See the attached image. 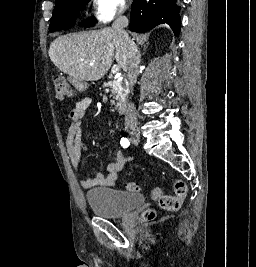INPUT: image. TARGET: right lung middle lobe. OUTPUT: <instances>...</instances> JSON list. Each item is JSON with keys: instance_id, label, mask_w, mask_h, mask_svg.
<instances>
[{"instance_id": "obj_1", "label": "right lung middle lobe", "mask_w": 256, "mask_h": 267, "mask_svg": "<svg viewBox=\"0 0 256 267\" xmlns=\"http://www.w3.org/2000/svg\"><path fill=\"white\" fill-rule=\"evenodd\" d=\"M90 0H60L55 2L53 16L50 21L49 30L58 31L69 29L74 25L79 11L84 9V5ZM93 20L87 19L80 23L81 26H93Z\"/></svg>"}]
</instances>
